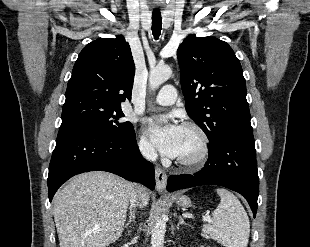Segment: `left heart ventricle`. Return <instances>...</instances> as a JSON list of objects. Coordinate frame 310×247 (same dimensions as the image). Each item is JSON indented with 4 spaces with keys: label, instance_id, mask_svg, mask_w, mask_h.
I'll return each instance as SVG.
<instances>
[{
    "label": "left heart ventricle",
    "instance_id": "b2bd125f",
    "mask_svg": "<svg viewBox=\"0 0 310 247\" xmlns=\"http://www.w3.org/2000/svg\"><path fill=\"white\" fill-rule=\"evenodd\" d=\"M200 148V141L197 134L192 130L182 128V136L177 157H191L195 155Z\"/></svg>",
    "mask_w": 310,
    "mask_h": 247
}]
</instances>
